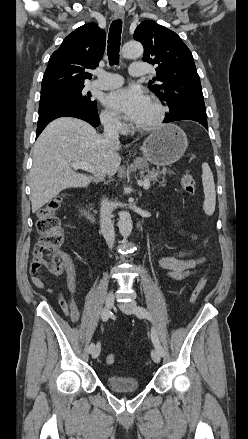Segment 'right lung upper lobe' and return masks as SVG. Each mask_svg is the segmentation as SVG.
Masks as SVG:
<instances>
[{
    "label": "right lung upper lobe",
    "mask_w": 248,
    "mask_h": 439,
    "mask_svg": "<svg viewBox=\"0 0 248 439\" xmlns=\"http://www.w3.org/2000/svg\"><path fill=\"white\" fill-rule=\"evenodd\" d=\"M104 30L95 23L70 33L49 59L43 76L41 95L84 86L91 79L88 69L98 66L105 48Z\"/></svg>",
    "instance_id": "obj_1"
}]
</instances>
